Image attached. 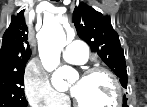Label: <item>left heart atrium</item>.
<instances>
[{"mask_svg": "<svg viewBox=\"0 0 147 107\" xmlns=\"http://www.w3.org/2000/svg\"><path fill=\"white\" fill-rule=\"evenodd\" d=\"M76 92H77V89H76V88H73V89H72V93L75 95Z\"/></svg>", "mask_w": 147, "mask_h": 107, "instance_id": "39dd6f15", "label": "left heart atrium"}]
</instances>
